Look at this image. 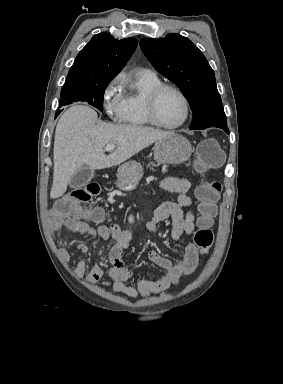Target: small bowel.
I'll return each mask as SVG.
<instances>
[{"label": "small bowel", "instance_id": "1", "mask_svg": "<svg viewBox=\"0 0 283 384\" xmlns=\"http://www.w3.org/2000/svg\"><path fill=\"white\" fill-rule=\"evenodd\" d=\"M161 187L167 192L178 194V198L177 201H166L155 209L152 219L146 224L147 230L154 232L160 222L171 218V238L173 241H180L183 236L190 235L195 228V216L191 208L192 199L188 194L191 183L184 177H167L162 180ZM48 224L53 234L61 229H66L104 240L113 239L115 243L109 252L111 264L108 271L109 278L103 281L102 285L131 298L158 294L171 285L177 284L183 276L192 274L198 265V248L192 242L185 241L180 245V257L175 260L166 258L155 250L150 251L148 259L165 272L156 278H137L123 260V253L129 247L132 239V233L129 230H122L115 223L93 225L82 222L68 214L59 213L56 208L50 210ZM74 249L82 254L76 265V274L80 277L85 276L89 283L98 282L103 276L102 266L95 264L85 275L87 269L85 256L88 248L84 244H78ZM70 255L71 249L68 247L59 250V256L64 262L69 261ZM134 280H136V285H129Z\"/></svg>", "mask_w": 283, "mask_h": 384}]
</instances>
